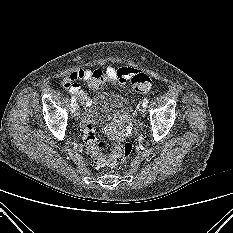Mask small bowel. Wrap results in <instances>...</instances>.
<instances>
[{"instance_id": "1", "label": "small bowel", "mask_w": 233, "mask_h": 233, "mask_svg": "<svg viewBox=\"0 0 233 233\" xmlns=\"http://www.w3.org/2000/svg\"><path fill=\"white\" fill-rule=\"evenodd\" d=\"M93 71L89 69H76L69 73L63 81L64 88L69 91L71 94L76 95V97L84 104L89 106L91 104L90 96L81 89L78 81H86L89 79ZM139 71L130 67H122L115 69L113 67H108L105 71V74L108 76L116 78L121 84H124L128 79L132 78Z\"/></svg>"}]
</instances>
